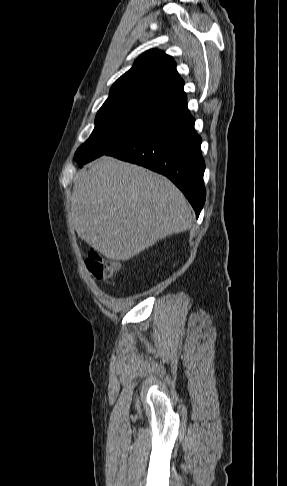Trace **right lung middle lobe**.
<instances>
[{
    "label": "right lung middle lobe",
    "mask_w": 287,
    "mask_h": 486,
    "mask_svg": "<svg viewBox=\"0 0 287 486\" xmlns=\"http://www.w3.org/2000/svg\"><path fill=\"white\" fill-rule=\"evenodd\" d=\"M170 113L169 110L143 104L102 106L96 115L91 136L76 151L74 160L82 167L137 138Z\"/></svg>",
    "instance_id": "1"
}]
</instances>
